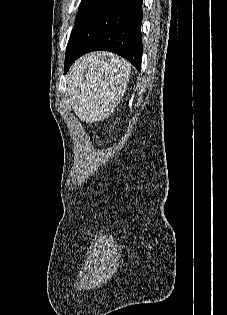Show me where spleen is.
I'll return each mask as SVG.
<instances>
[{
	"label": "spleen",
	"instance_id": "obj_1",
	"mask_svg": "<svg viewBox=\"0 0 227 315\" xmlns=\"http://www.w3.org/2000/svg\"><path fill=\"white\" fill-rule=\"evenodd\" d=\"M130 73V64L112 54L78 60L68 78V93L78 117L85 122L108 117L123 96Z\"/></svg>",
	"mask_w": 227,
	"mask_h": 315
}]
</instances>
